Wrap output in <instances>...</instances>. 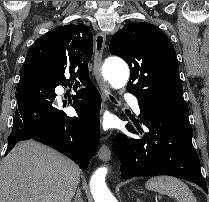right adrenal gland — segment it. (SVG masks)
Segmentation results:
<instances>
[{
    "mask_svg": "<svg viewBox=\"0 0 209 202\" xmlns=\"http://www.w3.org/2000/svg\"><path fill=\"white\" fill-rule=\"evenodd\" d=\"M73 202H83L80 188L77 189Z\"/></svg>",
    "mask_w": 209,
    "mask_h": 202,
    "instance_id": "right-adrenal-gland-1",
    "label": "right adrenal gland"
}]
</instances>
